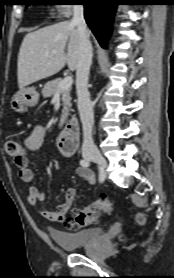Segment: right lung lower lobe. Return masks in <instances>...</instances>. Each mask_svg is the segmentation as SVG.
<instances>
[{"mask_svg":"<svg viewBox=\"0 0 174 278\" xmlns=\"http://www.w3.org/2000/svg\"><path fill=\"white\" fill-rule=\"evenodd\" d=\"M117 0H81L85 6L84 16L102 47H106L112 31Z\"/></svg>","mask_w":174,"mask_h":278,"instance_id":"right-lung-lower-lobe-1","label":"right lung lower lobe"}]
</instances>
